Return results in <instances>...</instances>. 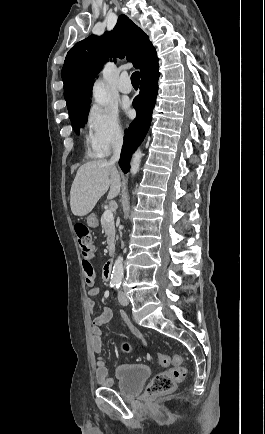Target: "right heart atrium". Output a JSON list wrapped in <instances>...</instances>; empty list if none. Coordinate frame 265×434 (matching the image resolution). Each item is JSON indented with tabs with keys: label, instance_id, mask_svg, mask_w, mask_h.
I'll return each mask as SVG.
<instances>
[{
	"label": "right heart atrium",
	"instance_id": "obj_1",
	"mask_svg": "<svg viewBox=\"0 0 265 434\" xmlns=\"http://www.w3.org/2000/svg\"><path fill=\"white\" fill-rule=\"evenodd\" d=\"M88 113L84 127L86 153L92 159H112L117 148L127 147L118 101H109L108 106H90Z\"/></svg>",
	"mask_w": 265,
	"mask_h": 434
}]
</instances>
